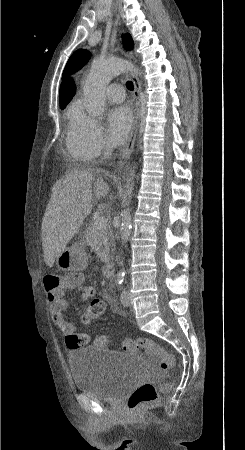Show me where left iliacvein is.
Wrapping results in <instances>:
<instances>
[{"label": "left iliac vein", "mask_w": 245, "mask_h": 450, "mask_svg": "<svg viewBox=\"0 0 245 450\" xmlns=\"http://www.w3.org/2000/svg\"><path fill=\"white\" fill-rule=\"evenodd\" d=\"M121 303L125 307H128L131 305L130 291L127 288L124 289L121 293Z\"/></svg>", "instance_id": "1"}]
</instances>
